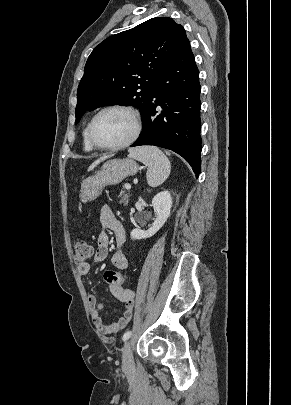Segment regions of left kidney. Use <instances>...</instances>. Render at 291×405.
I'll use <instances>...</instances> for the list:
<instances>
[{
    "label": "left kidney",
    "instance_id": "obj_1",
    "mask_svg": "<svg viewBox=\"0 0 291 405\" xmlns=\"http://www.w3.org/2000/svg\"><path fill=\"white\" fill-rule=\"evenodd\" d=\"M152 206L155 212V220L147 230L133 229L131 231V239L141 240L152 237L165 224L171 213L172 197L170 192L162 191L152 199Z\"/></svg>",
    "mask_w": 291,
    "mask_h": 405
}]
</instances>
